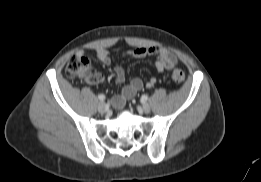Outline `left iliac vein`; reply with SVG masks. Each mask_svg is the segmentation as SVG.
<instances>
[{
  "label": "left iliac vein",
  "instance_id": "1",
  "mask_svg": "<svg viewBox=\"0 0 261 182\" xmlns=\"http://www.w3.org/2000/svg\"><path fill=\"white\" fill-rule=\"evenodd\" d=\"M141 108H142V111H143L144 113H146V114L150 113V111H151L150 106H149L148 104H146V103H144V104L141 106Z\"/></svg>",
  "mask_w": 261,
  "mask_h": 182
}]
</instances>
